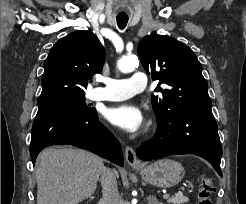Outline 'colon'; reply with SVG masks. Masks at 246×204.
<instances>
[{
  "instance_id": "obj_1",
  "label": "colon",
  "mask_w": 246,
  "mask_h": 204,
  "mask_svg": "<svg viewBox=\"0 0 246 204\" xmlns=\"http://www.w3.org/2000/svg\"><path fill=\"white\" fill-rule=\"evenodd\" d=\"M215 190L212 179L206 176L202 177L197 193V204H212L211 196Z\"/></svg>"
}]
</instances>
